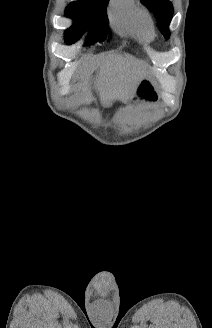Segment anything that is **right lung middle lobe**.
<instances>
[{
	"mask_svg": "<svg viewBox=\"0 0 212 328\" xmlns=\"http://www.w3.org/2000/svg\"><path fill=\"white\" fill-rule=\"evenodd\" d=\"M109 0H80L72 2L65 10V15L74 19V25L65 31V41L75 43L90 28L85 45L89 46L107 36V3Z\"/></svg>",
	"mask_w": 212,
	"mask_h": 328,
	"instance_id": "dd1d6c3e",
	"label": "right lung middle lobe"
}]
</instances>
